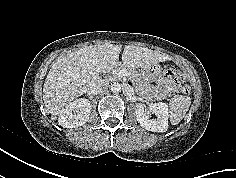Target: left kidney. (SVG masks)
Here are the masks:
<instances>
[{"label": "left kidney", "instance_id": "1", "mask_svg": "<svg viewBox=\"0 0 236 178\" xmlns=\"http://www.w3.org/2000/svg\"><path fill=\"white\" fill-rule=\"evenodd\" d=\"M151 111L156 115V119H149L146 113V105L137 104L135 115L138 123L146 130L152 132H165L168 129V105L163 102L154 103Z\"/></svg>", "mask_w": 236, "mask_h": 178}]
</instances>
